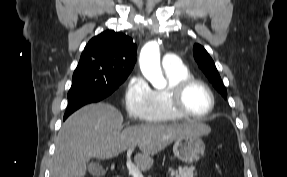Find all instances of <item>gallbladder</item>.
<instances>
[{"mask_svg": "<svg viewBox=\"0 0 287 177\" xmlns=\"http://www.w3.org/2000/svg\"><path fill=\"white\" fill-rule=\"evenodd\" d=\"M88 171L91 175L97 176V177L105 173L103 167L96 162H92L88 166Z\"/></svg>", "mask_w": 287, "mask_h": 177, "instance_id": "bac80fb5", "label": "gallbladder"}]
</instances>
